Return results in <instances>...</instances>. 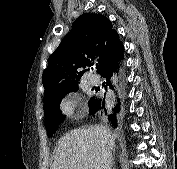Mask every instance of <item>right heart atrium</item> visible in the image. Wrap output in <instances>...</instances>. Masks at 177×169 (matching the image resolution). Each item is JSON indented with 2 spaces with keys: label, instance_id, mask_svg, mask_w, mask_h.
<instances>
[{
  "label": "right heart atrium",
  "instance_id": "d8ad5b80",
  "mask_svg": "<svg viewBox=\"0 0 177 169\" xmlns=\"http://www.w3.org/2000/svg\"><path fill=\"white\" fill-rule=\"evenodd\" d=\"M61 110L66 115H72L75 110V104L70 98H65L61 102Z\"/></svg>",
  "mask_w": 177,
  "mask_h": 169
}]
</instances>
